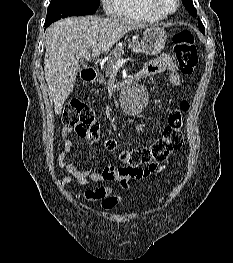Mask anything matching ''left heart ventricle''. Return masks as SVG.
Masks as SVG:
<instances>
[{"instance_id": "obj_1", "label": "left heart ventricle", "mask_w": 233, "mask_h": 263, "mask_svg": "<svg viewBox=\"0 0 233 263\" xmlns=\"http://www.w3.org/2000/svg\"><path fill=\"white\" fill-rule=\"evenodd\" d=\"M163 5L167 8L170 9L172 7V1L171 0H162Z\"/></svg>"}]
</instances>
